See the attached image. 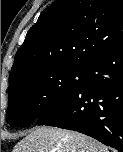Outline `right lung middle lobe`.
<instances>
[{"mask_svg":"<svg viewBox=\"0 0 123 152\" xmlns=\"http://www.w3.org/2000/svg\"><path fill=\"white\" fill-rule=\"evenodd\" d=\"M83 69L59 68L24 76L9 88L7 123L28 125L60 107L80 86Z\"/></svg>","mask_w":123,"mask_h":152,"instance_id":"dd1d6c3e","label":"right lung middle lobe"}]
</instances>
